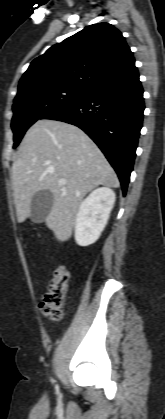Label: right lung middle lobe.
<instances>
[{
  "label": "right lung middle lobe",
  "instance_id": "obj_1",
  "mask_svg": "<svg viewBox=\"0 0 165 419\" xmlns=\"http://www.w3.org/2000/svg\"><path fill=\"white\" fill-rule=\"evenodd\" d=\"M88 92L68 87H51L32 92L14 100L11 127L14 133V145L20 143L26 130L46 114L73 103Z\"/></svg>",
  "mask_w": 165,
  "mask_h": 419
}]
</instances>
